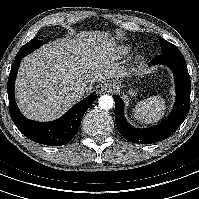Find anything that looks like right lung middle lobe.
<instances>
[{
  "label": "right lung middle lobe",
  "mask_w": 199,
  "mask_h": 199,
  "mask_svg": "<svg viewBox=\"0 0 199 199\" xmlns=\"http://www.w3.org/2000/svg\"><path fill=\"white\" fill-rule=\"evenodd\" d=\"M40 42L35 37L34 39L30 40L28 43H26L17 54H26L28 55L35 49L40 47Z\"/></svg>",
  "instance_id": "dd1d6c3e"
}]
</instances>
